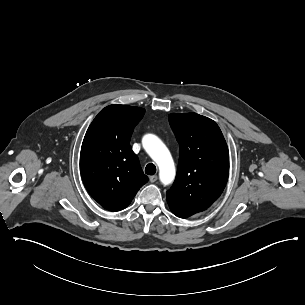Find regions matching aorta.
Instances as JSON below:
<instances>
[{
    "label": "aorta",
    "instance_id": "obj_1",
    "mask_svg": "<svg viewBox=\"0 0 305 305\" xmlns=\"http://www.w3.org/2000/svg\"><path fill=\"white\" fill-rule=\"evenodd\" d=\"M142 144L146 152L159 167L160 181L164 185L172 183L175 178V166L165 144L153 134L145 135L142 139Z\"/></svg>",
    "mask_w": 305,
    "mask_h": 305
}]
</instances>
